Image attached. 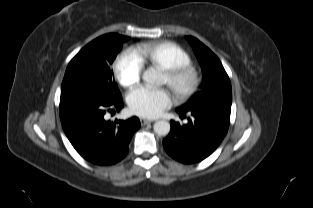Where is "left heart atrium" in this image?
<instances>
[{
    "label": "left heart atrium",
    "instance_id": "1",
    "mask_svg": "<svg viewBox=\"0 0 313 208\" xmlns=\"http://www.w3.org/2000/svg\"><path fill=\"white\" fill-rule=\"evenodd\" d=\"M131 111L143 117H157L172 103L168 90L163 88L140 87L127 97Z\"/></svg>",
    "mask_w": 313,
    "mask_h": 208
}]
</instances>
